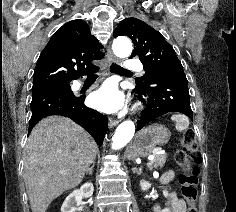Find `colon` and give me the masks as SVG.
I'll list each match as a JSON object with an SVG mask.
<instances>
[{
	"mask_svg": "<svg viewBox=\"0 0 236 212\" xmlns=\"http://www.w3.org/2000/svg\"><path fill=\"white\" fill-rule=\"evenodd\" d=\"M201 159L199 144L194 134L187 132L183 137L181 147L176 152V162L180 168V190L188 203V212H197L198 166Z\"/></svg>",
	"mask_w": 236,
	"mask_h": 212,
	"instance_id": "1",
	"label": "colon"
}]
</instances>
